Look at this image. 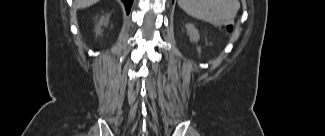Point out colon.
Here are the masks:
<instances>
[{
  "mask_svg": "<svg viewBox=\"0 0 325 136\" xmlns=\"http://www.w3.org/2000/svg\"><path fill=\"white\" fill-rule=\"evenodd\" d=\"M229 29H230V30L232 29V26H231V25L229 26Z\"/></svg>",
  "mask_w": 325,
  "mask_h": 136,
  "instance_id": "1",
  "label": "colon"
}]
</instances>
